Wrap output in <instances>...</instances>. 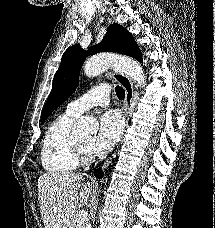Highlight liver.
<instances>
[{"label":"liver","mask_w":215,"mask_h":228,"mask_svg":"<svg viewBox=\"0 0 215 228\" xmlns=\"http://www.w3.org/2000/svg\"><path fill=\"white\" fill-rule=\"evenodd\" d=\"M84 180L83 174L48 172L40 176L38 200L45 228H74L78 202L88 204L91 184Z\"/></svg>","instance_id":"1"}]
</instances>
